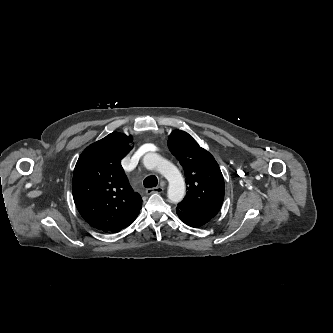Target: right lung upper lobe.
Listing matches in <instances>:
<instances>
[{"label":"right lung upper lobe","mask_w":333,"mask_h":333,"mask_svg":"<svg viewBox=\"0 0 333 333\" xmlns=\"http://www.w3.org/2000/svg\"><path fill=\"white\" fill-rule=\"evenodd\" d=\"M131 136L113 132L88 146L80 155L73 174V199L80 215L103 232L128 227L142 207L120 164L132 149Z\"/></svg>","instance_id":"1"}]
</instances>
